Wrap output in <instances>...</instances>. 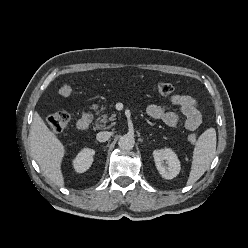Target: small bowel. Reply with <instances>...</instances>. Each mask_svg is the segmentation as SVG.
I'll return each mask as SVG.
<instances>
[{
  "label": "small bowel",
  "instance_id": "c3829d8e",
  "mask_svg": "<svg viewBox=\"0 0 248 248\" xmlns=\"http://www.w3.org/2000/svg\"><path fill=\"white\" fill-rule=\"evenodd\" d=\"M169 101L172 105L179 107L180 113L184 117L183 124L187 130L193 131L200 126L202 116L194 97L175 94L170 97ZM146 113L150 118L159 119L169 127H175L181 122L180 114L159 105L148 106Z\"/></svg>",
  "mask_w": 248,
  "mask_h": 248
}]
</instances>
